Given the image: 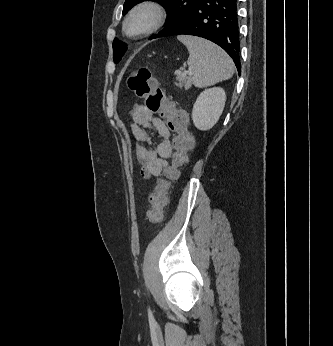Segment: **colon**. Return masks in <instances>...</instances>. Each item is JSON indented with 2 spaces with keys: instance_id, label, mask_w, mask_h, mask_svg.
I'll return each instance as SVG.
<instances>
[{
  "instance_id": "colon-1",
  "label": "colon",
  "mask_w": 333,
  "mask_h": 346,
  "mask_svg": "<svg viewBox=\"0 0 333 346\" xmlns=\"http://www.w3.org/2000/svg\"><path fill=\"white\" fill-rule=\"evenodd\" d=\"M128 88L140 99L151 113H158L164 118L170 129L176 133L174 138L175 152L171 164L165 169L164 176L157 181L154 191L149 196L150 208L147 219L156 224L163 220L164 207L167 203V191L173 180L177 179L179 169L187 163L188 152L193 144V136L188 130L186 114L177 110L167 99L162 88L158 86L151 71L141 67L132 72L127 79Z\"/></svg>"
}]
</instances>
